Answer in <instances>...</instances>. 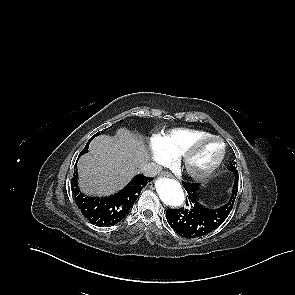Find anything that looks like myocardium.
<instances>
[{
  "mask_svg": "<svg viewBox=\"0 0 295 295\" xmlns=\"http://www.w3.org/2000/svg\"><path fill=\"white\" fill-rule=\"evenodd\" d=\"M216 142L220 146V152L216 160L204 170H195L191 167V160L197 150L207 142ZM226 154L224 142L217 136L209 135L193 141L181 155V163L185 172L192 178L203 180L212 176L221 166Z\"/></svg>",
  "mask_w": 295,
  "mask_h": 295,
  "instance_id": "f54148a6",
  "label": "myocardium"
}]
</instances>
